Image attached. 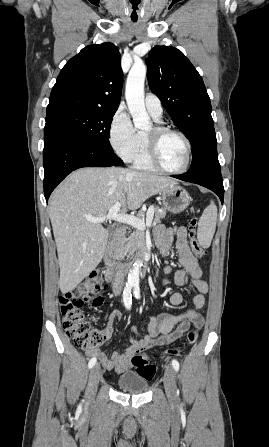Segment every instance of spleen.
Segmentation results:
<instances>
[{
  "mask_svg": "<svg viewBox=\"0 0 269 447\" xmlns=\"http://www.w3.org/2000/svg\"><path fill=\"white\" fill-rule=\"evenodd\" d=\"M217 224V206L211 202L210 206L205 208L197 229V239L202 247H209L213 239Z\"/></svg>",
  "mask_w": 269,
  "mask_h": 447,
  "instance_id": "spleen-1",
  "label": "spleen"
}]
</instances>
